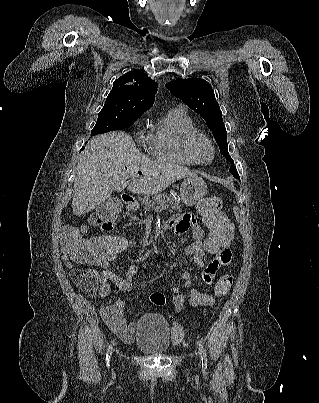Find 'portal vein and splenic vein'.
<instances>
[{"label":"portal vein and splenic vein","instance_id":"1","mask_svg":"<svg viewBox=\"0 0 319 403\" xmlns=\"http://www.w3.org/2000/svg\"><path fill=\"white\" fill-rule=\"evenodd\" d=\"M169 207V205H162V206H158L155 208V210H163V209H167Z\"/></svg>","mask_w":319,"mask_h":403}]
</instances>
